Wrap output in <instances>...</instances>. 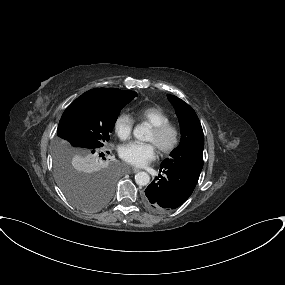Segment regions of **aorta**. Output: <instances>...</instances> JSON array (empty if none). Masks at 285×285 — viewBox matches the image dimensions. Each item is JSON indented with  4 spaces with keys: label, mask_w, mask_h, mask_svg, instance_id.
<instances>
[{
    "label": "aorta",
    "mask_w": 285,
    "mask_h": 285,
    "mask_svg": "<svg viewBox=\"0 0 285 285\" xmlns=\"http://www.w3.org/2000/svg\"><path fill=\"white\" fill-rule=\"evenodd\" d=\"M150 133V129L147 125H137L133 130V135L140 141H147ZM150 176L147 172L141 171L135 175V182L139 186H145L149 183Z\"/></svg>",
    "instance_id": "obj_1"
}]
</instances>
